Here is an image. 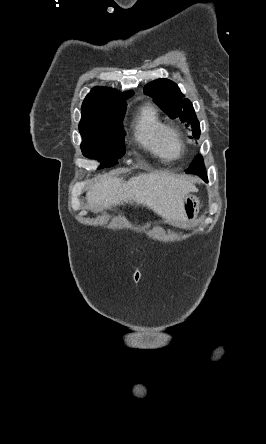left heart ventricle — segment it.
Returning <instances> with one entry per match:
<instances>
[{
    "instance_id": "obj_1",
    "label": "left heart ventricle",
    "mask_w": 266,
    "mask_h": 444,
    "mask_svg": "<svg viewBox=\"0 0 266 444\" xmlns=\"http://www.w3.org/2000/svg\"><path fill=\"white\" fill-rule=\"evenodd\" d=\"M165 145L172 155H177L180 151V142L176 134L169 132L165 135Z\"/></svg>"
}]
</instances>
